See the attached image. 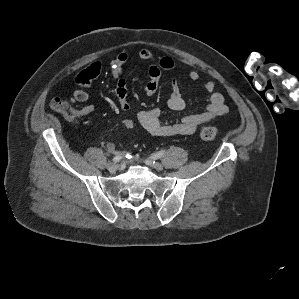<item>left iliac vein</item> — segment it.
<instances>
[{
	"instance_id": "obj_1",
	"label": "left iliac vein",
	"mask_w": 299,
	"mask_h": 299,
	"mask_svg": "<svg viewBox=\"0 0 299 299\" xmlns=\"http://www.w3.org/2000/svg\"><path fill=\"white\" fill-rule=\"evenodd\" d=\"M146 164L151 166L152 168L158 170V171H161L163 169V165L161 163L156 162L152 159H147Z\"/></svg>"
}]
</instances>
